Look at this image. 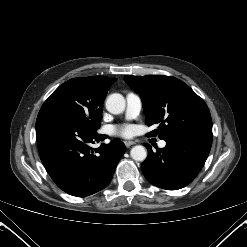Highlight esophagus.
Here are the masks:
<instances>
[{
	"label": "esophagus",
	"instance_id": "34e87169",
	"mask_svg": "<svg viewBox=\"0 0 247 247\" xmlns=\"http://www.w3.org/2000/svg\"><path fill=\"white\" fill-rule=\"evenodd\" d=\"M124 144H125V146L128 148V147H130L131 145L135 144V142H134V141H131V140H126V141H124Z\"/></svg>",
	"mask_w": 247,
	"mask_h": 247
}]
</instances>
